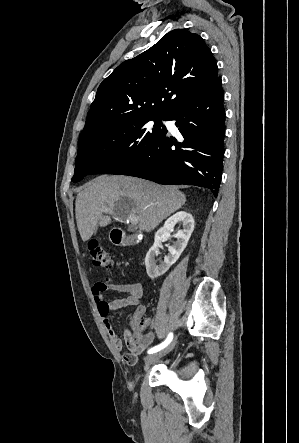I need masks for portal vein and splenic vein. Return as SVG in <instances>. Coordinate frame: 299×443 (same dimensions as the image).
<instances>
[{
    "instance_id": "obj_1",
    "label": "portal vein and splenic vein",
    "mask_w": 299,
    "mask_h": 443,
    "mask_svg": "<svg viewBox=\"0 0 299 443\" xmlns=\"http://www.w3.org/2000/svg\"><path fill=\"white\" fill-rule=\"evenodd\" d=\"M103 212H104V213H108V212H110V210H109L108 208H105V209H103ZM127 219L130 221V223H131L132 225H136V224H138V218H137V216L134 215V214L129 215Z\"/></svg>"
}]
</instances>
